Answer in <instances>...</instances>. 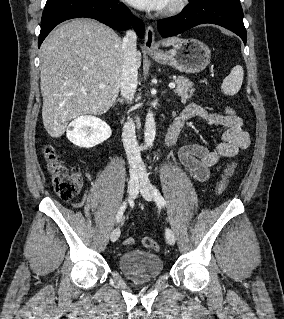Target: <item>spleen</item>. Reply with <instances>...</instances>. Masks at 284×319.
Returning a JSON list of instances; mask_svg holds the SVG:
<instances>
[{"instance_id": "3e777b00", "label": "spleen", "mask_w": 284, "mask_h": 319, "mask_svg": "<svg viewBox=\"0 0 284 319\" xmlns=\"http://www.w3.org/2000/svg\"><path fill=\"white\" fill-rule=\"evenodd\" d=\"M243 68L236 65L230 74L223 80L221 90L225 95H235L241 88L243 82Z\"/></svg>"}]
</instances>
